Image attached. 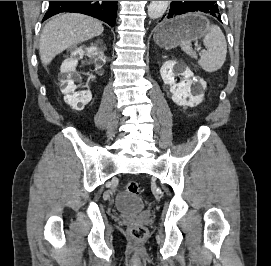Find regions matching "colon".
<instances>
[{
  "label": "colon",
  "mask_w": 271,
  "mask_h": 266,
  "mask_svg": "<svg viewBox=\"0 0 271 266\" xmlns=\"http://www.w3.org/2000/svg\"><path fill=\"white\" fill-rule=\"evenodd\" d=\"M125 189L128 193L133 195H137L140 193V186L137 181L128 182ZM130 235L133 239L137 241H142L147 237L148 231L142 225H135L130 229Z\"/></svg>",
  "instance_id": "colon-1"
}]
</instances>
